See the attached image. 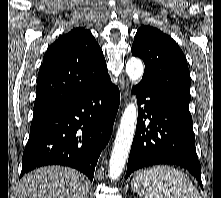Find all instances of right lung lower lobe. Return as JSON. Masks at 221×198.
I'll return each instance as SVG.
<instances>
[{
	"mask_svg": "<svg viewBox=\"0 0 221 198\" xmlns=\"http://www.w3.org/2000/svg\"><path fill=\"white\" fill-rule=\"evenodd\" d=\"M119 102V90L108 78L34 117L22 157L21 176L41 166L64 165L83 172L93 181L98 158L111 136Z\"/></svg>",
	"mask_w": 221,
	"mask_h": 198,
	"instance_id": "right-lung-lower-lobe-1",
	"label": "right lung lower lobe"
}]
</instances>
